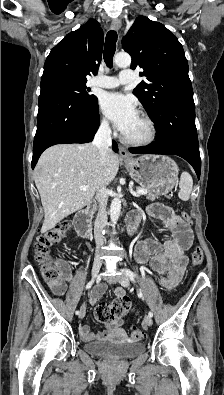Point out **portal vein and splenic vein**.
Here are the masks:
<instances>
[{
  "label": "portal vein and splenic vein",
  "mask_w": 224,
  "mask_h": 395,
  "mask_svg": "<svg viewBox=\"0 0 224 395\" xmlns=\"http://www.w3.org/2000/svg\"><path fill=\"white\" fill-rule=\"evenodd\" d=\"M87 188H88L87 186H81L80 190H84L85 191V190H87ZM147 193H148V191L145 190V189H137L136 192H135L136 195H145Z\"/></svg>",
  "instance_id": "1"
}]
</instances>
